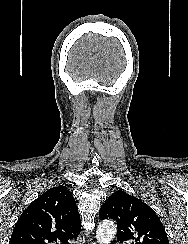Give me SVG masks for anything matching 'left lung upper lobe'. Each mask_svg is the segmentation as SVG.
Wrapping results in <instances>:
<instances>
[{
    "mask_svg": "<svg viewBox=\"0 0 188 244\" xmlns=\"http://www.w3.org/2000/svg\"><path fill=\"white\" fill-rule=\"evenodd\" d=\"M101 219L116 221L117 240L129 244H169L156 213L142 200L124 191L113 193L99 211Z\"/></svg>",
    "mask_w": 188,
    "mask_h": 244,
    "instance_id": "left-lung-upper-lobe-1",
    "label": "left lung upper lobe"
}]
</instances>
